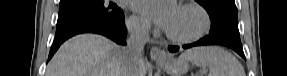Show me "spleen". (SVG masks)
Segmentation results:
<instances>
[{
	"label": "spleen",
	"instance_id": "3e777b00",
	"mask_svg": "<svg viewBox=\"0 0 287 76\" xmlns=\"http://www.w3.org/2000/svg\"><path fill=\"white\" fill-rule=\"evenodd\" d=\"M179 58L198 67H207L208 76H246L237 58L219 46L195 47L185 51Z\"/></svg>",
	"mask_w": 287,
	"mask_h": 76
}]
</instances>
